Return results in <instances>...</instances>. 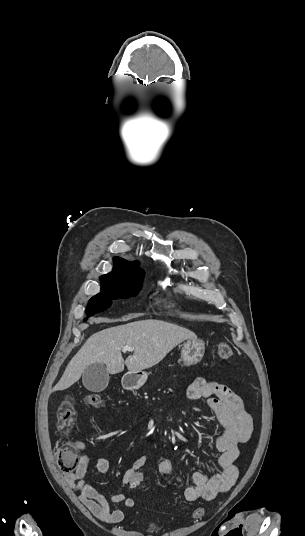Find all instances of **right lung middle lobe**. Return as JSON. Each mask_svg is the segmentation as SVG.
<instances>
[{"label":"right lung middle lobe","instance_id":"right-lung-middle-lobe-1","mask_svg":"<svg viewBox=\"0 0 305 536\" xmlns=\"http://www.w3.org/2000/svg\"><path fill=\"white\" fill-rule=\"evenodd\" d=\"M141 280L103 281L101 292L92 297L87 306V315L92 316L109 308L115 299L136 296L141 289Z\"/></svg>","mask_w":305,"mask_h":536}]
</instances>
